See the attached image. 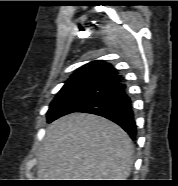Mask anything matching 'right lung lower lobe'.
<instances>
[{
	"mask_svg": "<svg viewBox=\"0 0 178 186\" xmlns=\"http://www.w3.org/2000/svg\"><path fill=\"white\" fill-rule=\"evenodd\" d=\"M75 112L105 117L121 126L132 139H135L137 130L133 108L130 97L126 93V86L121 81L110 86Z\"/></svg>",
	"mask_w": 178,
	"mask_h": 186,
	"instance_id": "98d812e1",
	"label": "right lung lower lobe"
}]
</instances>
